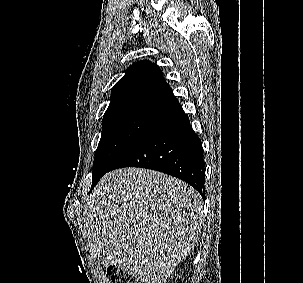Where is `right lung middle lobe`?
<instances>
[{
    "mask_svg": "<svg viewBox=\"0 0 303 283\" xmlns=\"http://www.w3.org/2000/svg\"><path fill=\"white\" fill-rule=\"evenodd\" d=\"M155 118L136 114L103 120L101 139L93 163L92 189Z\"/></svg>",
    "mask_w": 303,
    "mask_h": 283,
    "instance_id": "right-lung-middle-lobe-1",
    "label": "right lung middle lobe"
}]
</instances>
